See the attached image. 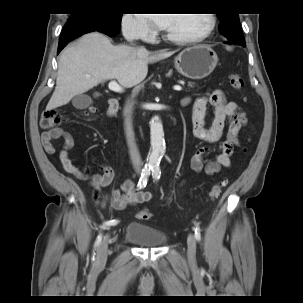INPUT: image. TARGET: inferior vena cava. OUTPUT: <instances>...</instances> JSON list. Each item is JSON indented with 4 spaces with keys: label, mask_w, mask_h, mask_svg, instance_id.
Here are the masks:
<instances>
[{
    "label": "inferior vena cava",
    "mask_w": 303,
    "mask_h": 303,
    "mask_svg": "<svg viewBox=\"0 0 303 303\" xmlns=\"http://www.w3.org/2000/svg\"><path fill=\"white\" fill-rule=\"evenodd\" d=\"M122 32L124 38L127 41L132 42L134 40V34L130 25H125L123 27ZM138 50L143 51L144 48H139ZM133 107H134V102L132 100H127L123 109L124 127H125V134H126L130 159L133 168L135 169L136 172L139 173L143 166V162L136 144L135 135L133 131V125H132Z\"/></svg>",
    "instance_id": "inferior-vena-cava-1"
}]
</instances>
